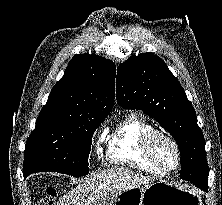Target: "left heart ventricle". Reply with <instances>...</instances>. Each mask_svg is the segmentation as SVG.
<instances>
[{"mask_svg":"<svg viewBox=\"0 0 222 205\" xmlns=\"http://www.w3.org/2000/svg\"><path fill=\"white\" fill-rule=\"evenodd\" d=\"M153 150L158 161L165 167H172L176 161L173 145L163 138L155 139Z\"/></svg>","mask_w":222,"mask_h":205,"instance_id":"b2bd125f","label":"left heart ventricle"}]
</instances>
